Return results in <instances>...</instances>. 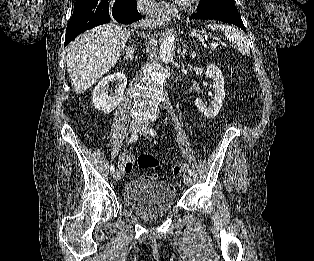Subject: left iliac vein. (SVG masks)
Masks as SVG:
<instances>
[{"label": "left iliac vein", "instance_id": "4c4485c4", "mask_svg": "<svg viewBox=\"0 0 314 261\" xmlns=\"http://www.w3.org/2000/svg\"><path fill=\"white\" fill-rule=\"evenodd\" d=\"M139 133L142 134V135H147L148 134V127L146 124H142L139 128ZM183 181H184V184L186 186H190L191 183H192V179H191V176L189 174H185L183 176Z\"/></svg>", "mask_w": 314, "mask_h": 261}]
</instances>
